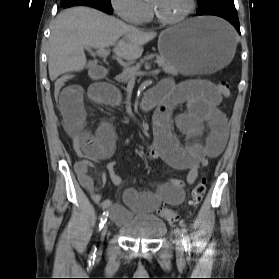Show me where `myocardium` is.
<instances>
[{"instance_id":"myocardium-1","label":"myocardium","mask_w":279,"mask_h":279,"mask_svg":"<svg viewBox=\"0 0 279 279\" xmlns=\"http://www.w3.org/2000/svg\"><path fill=\"white\" fill-rule=\"evenodd\" d=\"M149 7L151 10V14L159 23H162L165 25H175V24L185 21L187 18H189L191 16V14L194 12L195 7H196V0H189V7L184 11L183 14H181L180 16H178L176 18H165L164 16H162L159 13L157 8L150 2H149Z\"/></svg>"}]
</instances>
